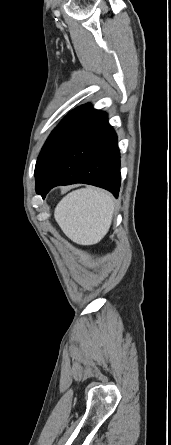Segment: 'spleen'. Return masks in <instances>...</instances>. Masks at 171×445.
<instances>
[{
  "mask_svg": "<svg viewBox=\"0 0 171 445\" xmlns=\"http://www.w3.org/2000/svg\"><path fill=\"white\" fill-rule=\"evenodd\" d=\"M113 212V196L104 190L88 187L67 194L57 204L54 218L72 241L92 245L107 234Z\"/></svg>",
  "mask_w": 171,
  "mask_h": 445,
  "instance_id": "1",
  "label": "spleen"
}]
</instances>
